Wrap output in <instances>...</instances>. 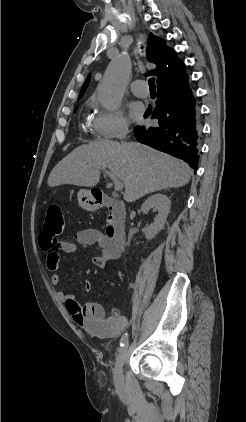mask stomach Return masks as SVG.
Here are the masks:
<instances>
[{
	"instance_id": "stomach-1",
	"label": "stomach",
	"mask_w": 246,
	"mask_h": 422,
	"mask_svg": "<svg viewBox=\"0 0 246 422\" xmlns=\"http://www.w3.org/2000/svg\"><path fill=\"white\" fill-rule=\"evenodd\" d=\"M77 197L80 207L84 210L93 211L97 208V201L92 195L91 190L81 189Z\"/></svg>"
}]
</instances>
